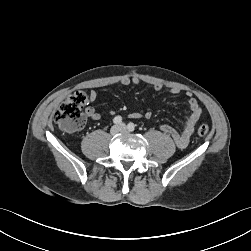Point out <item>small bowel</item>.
<instances>
[{
  "mask_svg": "<svg viewBox=\"0 0 251 251\" xmlns=\"http://www.w3.org/2000/svg\"><path fill=\"white\" fill-rule=\"evenodd\" d=\"M139 83L140 79L135 76L133 77L124 76L120 79V84L125 86L130 84L137 85ZM153 88L156 91H160L162 89V85L156 83L153 85ZM170 91L174 94H178L181 92L179 88H172ZM186 95L188 97L190 112L185 118L182 132L179 133L169 125L161 126V130L164 133L168 134L179 148H185L189 144L191 137L195 131V125L198 122L202 112L199 103L193 97V95L190 92H187ZM88 99L90 102H94L97 99V92L95 90L90 91ZM85 114L88 118L94 121L100 120L101 118V114L98 111H96V109L93 106L86 107ZM151 116L152 113L150 111H146L144 113L133 112L130 114V117L134 119H140V118L149 119L151 118Z\"/></svg>",
  "mask_w": 251,
  "mask_h": 251,
  "instance_id": "obj_1",
  "label": "small bowel"
}]
</instances>
